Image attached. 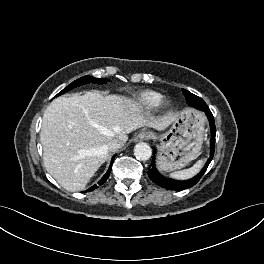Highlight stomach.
Listing matches in <instances>:
<instances>
[{
	"mask_svg": "<svg viewBox=\"0 0 264 264\" xmlns=\"http://www.w3.org/2000/svg\"><path fill=\"white\" fill-rule=\"evenodd\" d=\"M204 125L205 118L200 112L182 111L171 128L158 137L160 141L158 167L164 171H173L194 160L202 148Z\"/></svg>",
	"mask_w": 264,
	"mask_h": 264,
	"instance_id": "obj_1",
	"label": "stomach"
}]
</instances>
